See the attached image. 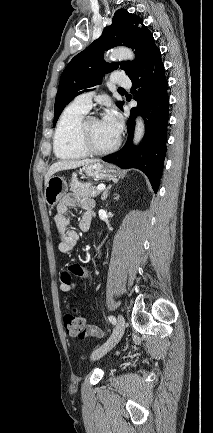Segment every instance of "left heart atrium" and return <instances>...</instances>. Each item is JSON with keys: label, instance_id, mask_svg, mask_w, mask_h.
Listing matches in <instances>:
<instances>
[{"label": "left heart atrium", "instance_id": "39dd6f15", "mask_svg": "<svg viewBox=\"0 0 213 433\" xmlns=\"http://www.w3.org/2000/svg\"><path fill=\"white\" fill-rule=\"evenodd\" d=\"M102 122L111 130L115 136H119L122 129L120 116L114 109H109L103 117Z\"/></svg>", "mask_w": 213, "mask_h": 433}]
</instances>
